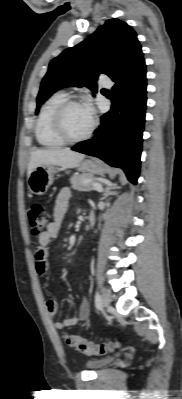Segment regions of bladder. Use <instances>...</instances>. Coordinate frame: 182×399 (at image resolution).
<instances>
[{"instance_id": "bladder-1", "label": "bladder", "mask_w": 182, "mask_h": 399, "mask_svg": "<svg viewBox=\"0 0 182 399\" xmlns=\"http://www.w3.org/2000/svg\"><path fill=\"white\" fill-rule=\"evenodd\" d=\"M112 362V358H101L95 359L87 362L89 368L93 370H99L104 368L105 366L109 365Z\"/></svg>"}]
</instances>
